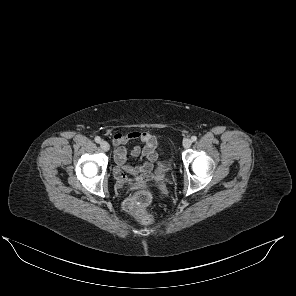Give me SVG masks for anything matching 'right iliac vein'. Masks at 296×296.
Wrapping results in <instances>:
<instances>
[{
	"mask_svg": "<svg viewBox=\"0 0 296 296\" xmlns=\"http://www.w3.org/2000/svg\"><path fill=\"white\" fill-rule=\"evenodd\" d=\"M100 146L104 151H108L110 149L109 143L104 140L100 142Z\"/></svg>",
	"mask_w": 296,
	"mask_h": 296,
	"instance_id": "1",
	"label": "right iliac vein"
}]
</instances>
